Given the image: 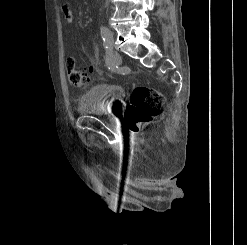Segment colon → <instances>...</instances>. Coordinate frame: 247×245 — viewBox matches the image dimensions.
<instances>
[{
  "label": "colon",
  "mask_w": 247,
  "mask_h": 245,
  "mask_svg": "<svg viewBox=\"0 0 247 245\" xmlns=\"http://www.w3.org/2000/svg\"><path fill=\"white\" fill-rule=\"evenodd\" d=\"M66 71L69 82L74 86H82L89 81L93 67L79 70L76 60L69 56L66 58ZM163 104V95L158 90L137 86L130 95V103L126 110V120L132 130H137L158 115Z\"/></svg>",
  "instance_id": "5ec220e1"
}]
</instances>
